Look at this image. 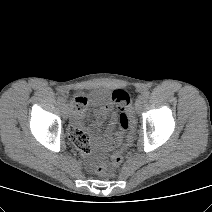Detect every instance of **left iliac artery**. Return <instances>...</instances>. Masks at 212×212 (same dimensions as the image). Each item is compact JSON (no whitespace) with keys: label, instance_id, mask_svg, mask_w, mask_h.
<instances>
[{"label":"left iliac artery","instance_id":"1","mask_svg":"<svg viewBox=\"0 0 212 212\" xmlns=\"http://www.w3.org/2000/svg\"><path fill=\"white\" fill-rule=\"evenodd\" d=\"M141 97H143L144 100L146 101V100L149 98V92H148V91H144V92L142 93V96H141Z\"/></svg>","mask_w":212,"mask_h":212}]
</instances>
